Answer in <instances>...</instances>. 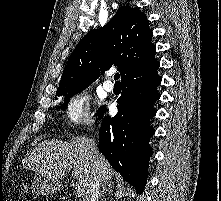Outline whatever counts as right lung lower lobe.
I'll list each match as a JSON object with an SVG mask.
<instances>
[{
	"instance_id": "1",
	"label": "right lung lower lobe",
	"mask_w": 221,
	"mask_h": 201,
	"mask_svg": "<svg viewBox=\"0 0 221 201\" xmlns=\"http://www.w3.org/2000/svg\"><path fill=\"white\" fill-rule=\"evenodd\" d=\"M157 62L144 72L122 81V94L117 99L118 114L102 118L99 150L111 166L131 184L138 194L144 190L148 161L152 155L149 139L155 130L149 121L156 114L153 103L160 98L157 87L161 77Z\"/></svg>"
}]
</instances>
